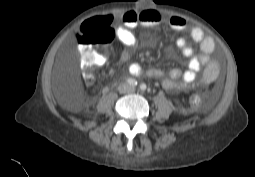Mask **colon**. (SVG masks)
Instances as JSON below:
<instances>
[{
  "instance_id": "colon-1",
  "label": "colon",
  "mask_w": 255,
  "mask_h": 177,
  "mask_svg": "<svg viewBox=\"0 0 255 177\" xmlns=\"http://www.w3.org/2000/svg\"><path fill=\"white\" fill-rule=\"evenodd\" d=\"M114 31L110 27L107 17H98L84 22L77 33L81 63L87 70L96 66V50L98 46L109 45L114 40ZM219 72V71H218ZM209 69L206 70V75ZM84 80L87 83L92 81V76L86 74Z\"/></svg>"
}]
</instances>
